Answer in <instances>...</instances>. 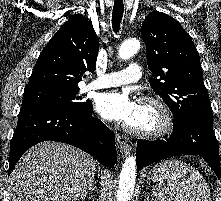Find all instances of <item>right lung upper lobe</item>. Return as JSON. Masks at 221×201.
<instances>
[{"label":"right lung upper lobe","instance_id":"right-lung-upper-lobe-1","mask_svg":"<svg viewBox=\"0 0 221 201\" xmlns=\"http://www.w3.org/2000/svg\"><path fill=\"white\" fill-rule=\"evenodd\" d=\"M98 49L99 39L92 24L74 15L43 49L25 88H79L84 73L96 68Z\"/></svg>","mask_w":221,"mask_h":201}]
</instances>
